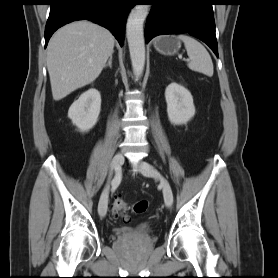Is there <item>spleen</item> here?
<instances>
[{"label": "spleen", "mask_w": 278, "mask_h": 278, "mask_svg": "<svg viewBox=\"0 0 278 278\" xmlns=\"http://www.w3.org/2000/svg\"><path fill=\"white\" fill-rule=\"evenodd\" d=\"M178 39L184 42L190 59L188 67L193 71L203 73L209 77L213 76L214 67L212 59L205 47L196 39L185 34L179 35Z\"/></svg>", "instance_id": "spleen-1"}]
</instances>
